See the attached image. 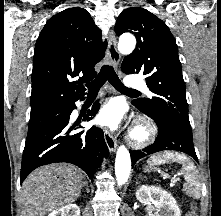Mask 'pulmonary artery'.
<instances>
[{"label": "pulmonary artery", "instance_id": "1", "mask_svg": "<svg viewBox=\"0 0 221 216\" xmlns=\"http://www.w3.org/2000/svg\"><path fill=\"white\" fill-rule=\"evenodd\" d=\"M125 84L128 88H130L132 90L133 89H144L148 93V95H151V93L146 88L145 82L138 77H128L125 80Z\"/></svg>", "mask_w": 221, "mask_h": 216}]
</instances>
